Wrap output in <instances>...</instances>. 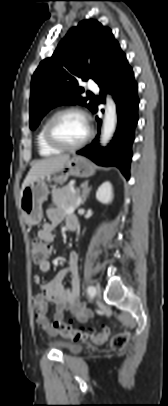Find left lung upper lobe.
I'll return each instance as SVG.
<instances>
[{
  "label": "left lung upper lobe",
  "mask_w": 168,
  "mask_h": 406,
  "mask_svg": "<svg viewBox=\"0 0 168 406\" xmlns=\"http://www.w3.org/2000/svg\"><path fill=\"white\" fill-rule=\"evenodd\" d=\"M121 52L112 31L96 20H83L69 30L54 54L43 60L32 76L30 128L35 129L52 108L63 104H81L91 111L94 102L82 97L78 80L93 79L97 84L108 66ZM96 65H88L87 58Z\"/></svg>",
  "instance_id": "left-lung-upper-lobe-1"
}]
</instances>
